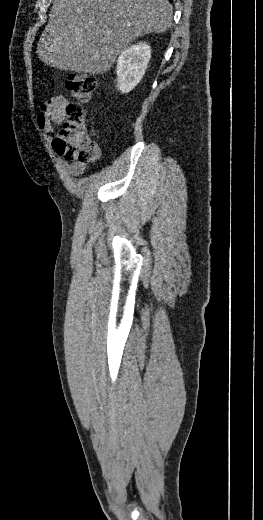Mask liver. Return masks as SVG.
<instances>
[{
    "instance_id": "6515ba94",
    "label": "liver",
    "mask_w": 263,
    "mask_h": 520,
    "mask_svg": "<svg viewBox=\"0 0 263 520\" xmlns=\"http://www.w3.org/2000/svg\"><path fill=\"white\" fill-rule=\"evenodd\" d=\"M168 0H54L37 45L45 64L103 74L136 38L172 25Z\"/></svg>"
}]
</instances>
